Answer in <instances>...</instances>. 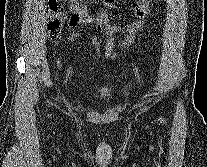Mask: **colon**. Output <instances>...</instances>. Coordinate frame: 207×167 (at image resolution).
Returning <instances> with one entry per match:
<instances>
[{"label":"colon","mask_w":207,"mask_h":167,"mask_svg":"<svg viewBox=\"0 0 207 167\" xmlns=\"http://www.w3.org/2000/svg\"><path fill=\"white\" fill-rule=\"evenodd\" d=\"M47 16V29L51 37L57 39L66 24L67 17L62 6L56 0H49Z\"/></svg>","instance_id":"obj_1"}]
</instances>
